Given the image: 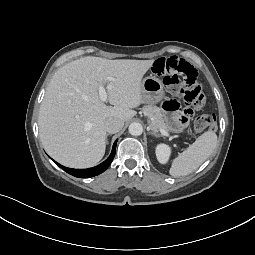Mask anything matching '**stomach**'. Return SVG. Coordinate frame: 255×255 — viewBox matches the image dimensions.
<instances>
[{"label":"stomach","instance_id":"1","mask_svg":"<svg viewBox=\"0 0 255 255\" xmlns=\"http://www.w3.org/2000/svg\"><path fill=\"white\" fill-rule=\"evenodd\" d=\"M165 97L162 81L154 76L142 80V99L144 103L156 104Z\"/></svg>","mask_w":255,"mask_h":255}]
</instances>
